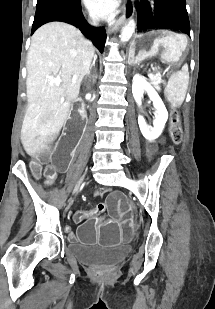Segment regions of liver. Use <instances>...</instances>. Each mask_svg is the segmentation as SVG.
<instances>
[{
  "label": "liver",
  "instance_id": "6515ba94",
  "mask_svg": "<svg viewBox=\"0 0 215 309\" xmlns=\"http://www.w3.org/2000/svg\"><path fill=\"white\" fill-rule=\"evenodd\" d=\"M94 52L92 42L72 24L47 22L34 32L27 54L28 104L20 136L28 155L50 148L57 138ZM48 76H60V86Z\"/></svg>",
  "mask_w": 215,
  "mask_h": 309
}]
</instances>
